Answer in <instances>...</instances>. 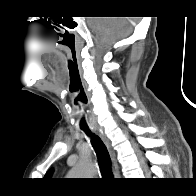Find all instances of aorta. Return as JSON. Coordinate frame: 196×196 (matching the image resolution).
Masks as SVG:
<instances>
[{
  "label": "aorta",
  "instance_id": "obj_1",
  "mask_svg": "<svg viewBox=\"0 0 196 196\" xmlns=\"http://www.w3.org/2000/svg\"><path fill=\"white\" fill-rule=\"evenodd\" d=\"M94 167L90 161H80L70 172V178H87L92 175Z\"/></svg>",
  "mask_w": 196,
  "mask_h": 196
}]
</instances>
